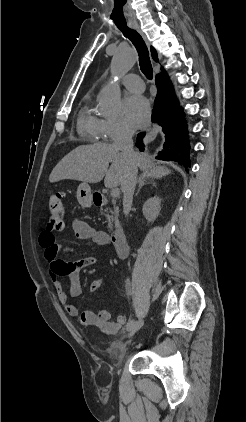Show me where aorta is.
I'll return each mask as SVG.
<instances>
[{"label": "aorta", "instance_id": "obj_1", "mask_svg": "<svg viewBox=\"0 0 246 422\" xmlns=\"http://www.w3.org/2000/svg\"><path fill=\"white\" fill-rule=\"evenodd\" d=\"M135 53L131 48H119L111 61V72L115 78L126 74L135 63ZM102 111L108 116H117L121 110V93L118 86L103 89L99 96Z\"/></svg>", "mask_w": 246, "mask_h": 422}]
</instances>
